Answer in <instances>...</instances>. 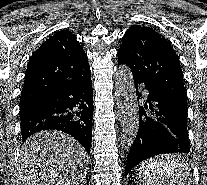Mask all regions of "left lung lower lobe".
<instances>
[{"label":"left lung lower lobe","instance_id":"left-lung-lower-lobe-1","mask_svg":"<svg viewBox=\"0 0 207 185\" xmlns=\"http://www.w3.org/2000/svg\"><path fill=\"white\" fill-rule=\"evenodd\" d=\"M138 100L142 96L138 85L145 84L147 103L139 106V129L129 150L125 175L143 160L166 153H188L187 108L167 97L151 84L134 78Z\"/></svg>","mask_w":207,"mask_h":185}]
</instances>
